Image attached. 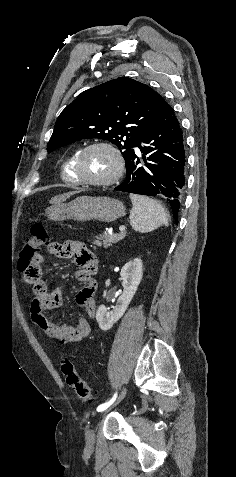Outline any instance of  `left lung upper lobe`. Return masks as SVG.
<instances>
[{"label": "left lung upper lobe", "instance_id": "left-lung-upper-lobe-1", "mask_svg": "<svg viewBox=\"0 0 236 477\" xmlns=\"http://www.w3.org/2000/svg\"><path fill=\"white\" fill-rule=\"evenodd\" d=\"M162 99L146 84L127 77L86 90L59 115L48 152L99 138L115 144L127 164L159 115Z\"/></svg>", "mask_w": 236, "mask_h": 477}]
</instances>
